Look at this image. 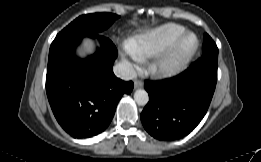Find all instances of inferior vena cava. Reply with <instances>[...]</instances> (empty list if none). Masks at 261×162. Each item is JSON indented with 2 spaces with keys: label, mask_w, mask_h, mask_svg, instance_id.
<instances>
[{
  "label": "inferior vena cava",
  "mask_w": 261,
  "mask_h": 162,
  "mask_svg": "<svg viewBox=\"0 0 261 162\" xmlns=\"http://www.w3.org/2000/svg\"><path fill=\"white\" fill-rule=\"evenodd\" d=\"M114 74L122 80H133L137 74L129 62H120L113 67Z\"/></svg>",
  "instance_id": "inferior-vena-cava-1"
}]
</instances>
